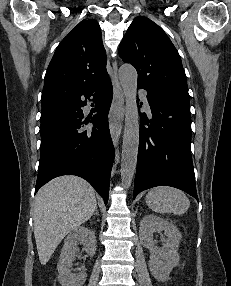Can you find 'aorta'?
<instances>
[{
	"label": "aorta",
	"mask_w": 231,
	"mask_h": 286,
	"mask_svg": "<svg viewBox=\"0 0 231 286\" xmlns=\"http://www.w3.org/2000/svg\"><path fill=\"white\" fill-rule=\"evenodd\" d=\"M119 80L125 96V125L123 132L121 181L125 188H129L137 164L139 148V113L137 107V71L129 64L119 68Z\"/></svg>",
	"instance_id": "762f6f07"
}]
</instances>
